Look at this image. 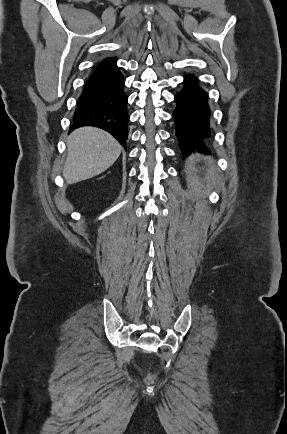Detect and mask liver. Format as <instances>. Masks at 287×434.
Here are the masks:
<instances>
[{
    "mask_svg": "<svg viewBox=\"0 0 287 434\" xmlns=\"http://www.w3.org/2000/svg\"><path fill=\"white\" fill-rule=\"evenodd\" d=\"M68 156L63 168L67 184L95 177L118 159L121 145L109 133L94 127L75 130L67 139Z\"/></svg>",
    "mask_w": 287,
    "mask_h": 434,
    "instance_id": "1",
    "label": "liver"
}]
</instances>
